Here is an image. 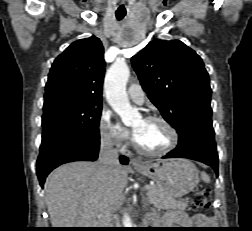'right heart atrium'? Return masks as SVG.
<instances>
[{
	"label": "right heart atrium",
	"mask_w": 252,
	"mask_h": 231,
	"mask_svg": "<svg viewBox=\"0 0 252 231\" xmlns=\"http://www.w3.org/2000/svg\"><path fill=\"white\" fill-rule=\"evenodd\" d=\"M98 129L102 140L119 149H125L128 145V134L119 127L113 120L110 112L103 110L101 112Z\"/></svg>",
	"instance_id": "obj_1"
}]
</instances>
